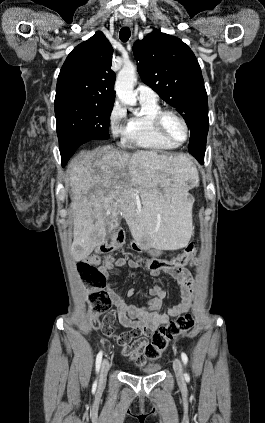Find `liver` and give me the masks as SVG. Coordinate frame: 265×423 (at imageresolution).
Listing matches in <instances>:
<instances>
[{
	"instance_id": "6515ba94",
	"label": "liver",
	"mask_w": 265,
	"mask_h": 423,
	"mask_svg": "<svg viewBox=\"0 0 265 423\" xmlns=\"http://www.w3.org/2000/svg\"><path fill=\"white\" fill-rule=\"evenodd\" d=\"M66 173L75 261L104 243L108 220L120 214L136 242L146 248L178 250L189 243L193 225L188 191L194 185L188 183L198 181L191 157L142 150L131 155L106 145L80 152Z\"/></svg>"
}]
</instances>
